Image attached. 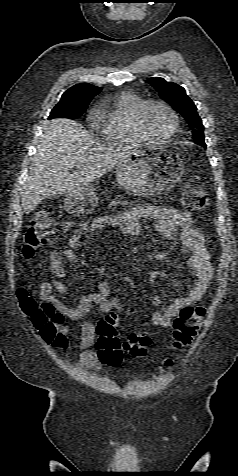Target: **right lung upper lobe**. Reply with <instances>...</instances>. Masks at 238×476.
<instances>
[{
  "label": "right lung upper lobe",
  "mask_w": 238,
  "mask_h": 476,
  "mask_svg": "<svg viewBox=\"0 0 238 476\" xmlns=\"http://www.w3.org/2000/svg\"><path fill=\"white\" fill-rule=\"evenodd\" d=\"M101 91V87L89 83H80L64 92L61 100H68L79 104H89L94 96Z\"/></svg>",
  "instance_id": "cb5924a9"
}]
</instances>
